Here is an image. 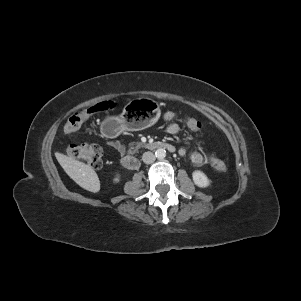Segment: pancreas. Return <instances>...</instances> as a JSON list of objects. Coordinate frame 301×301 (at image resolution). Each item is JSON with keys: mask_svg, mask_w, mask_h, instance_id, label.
<instances>
[{"mask_svg": "<svg viewBox=\"0 0 301 301\" xmlns=\"http://www.w3.org/2000/svg\"><path fill=\"white\" fill-rule=\"evenodd\" d=\"M142 146H143V144H142L141 142L132 143V144H130L129 152H130V153H135V152H137Z\"/></svg>", "mask_w": 301, "mask_h": 301, "instance_id": "cf45deb5", "label": "pancreas"}]
</instances>
